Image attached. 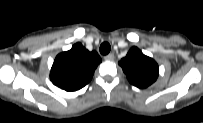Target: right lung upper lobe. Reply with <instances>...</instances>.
I'll return each mask as SVG.
<instances>
[{
    "mask_svg": "<svg viewBox=\"0 0 203 123\" xmlns=\"http://www.w3.org/2000/svg\"><path fill=\"white\" fill-rule=\"evenodd\" d=\"M101 61L97 52H89L81 43H76L69 51L56 56L50 79L61 89L76 91L90 82Z\"/></svg>",
    "mask_w": 203,
    "mask_h": 123,
    "instance_id": "obj_1",
    "label": "right lung upper lobe"
}]
</instances>
